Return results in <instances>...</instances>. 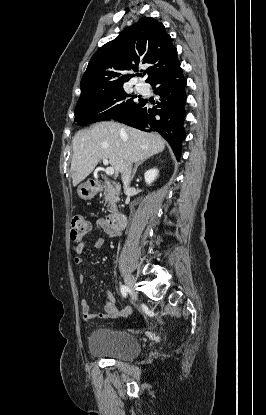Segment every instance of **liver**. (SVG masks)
Here are the masks:
<instances>
[{
    "instance_id": "1",
    "label": "liver",
    "mask_w": 266,
    "mask_h": 415,
    "mask_svg": "<svg viewBox=\"0 0 266 415\" xmlns=\"http://www.w3.org/2000/svg\"><path fill=\"white\" fill-rule=\"evenodd\" d=\"M165 140L113 121L96 123L73 138L71 176L73 186L83 181L102 159H108L116 175L130 161L138 163L162 152Z\"/></svg>"
}]
</instances>
